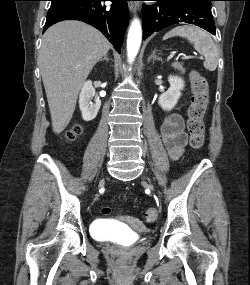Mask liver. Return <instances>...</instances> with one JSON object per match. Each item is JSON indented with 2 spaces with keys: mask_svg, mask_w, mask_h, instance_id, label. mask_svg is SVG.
Segmentation results:
<instances>
[{
  "mask_svg": "<svg viewBox=\"0 0 250 285\" xmlns=\"http://www.w3.org/2000/svg\"><path fill=\"white\" fill-rule=\"evenodd\" d=\"M110 47L102 33L79 21L57 23L44 33L38 62L54 133L69 124L84 81Z\"/></svg>",
  "mask_w": 250,
  "mask_h": 285,
  "instance_id": "6515ba94",
  "label": "liver"
}]
</instances>
